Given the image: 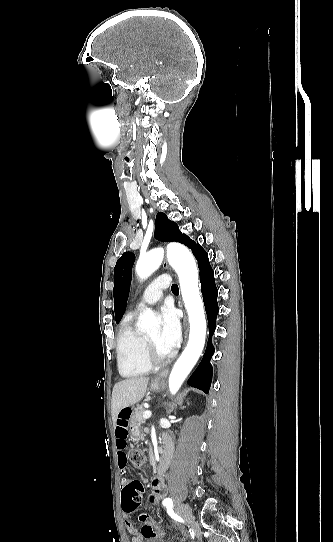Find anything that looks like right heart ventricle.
I'll return each mask as SVG.
<instances>
[{"instance_id": "right-heart-ventricle-1", "label": "right heart ventricle", "mask_w": 333, "mask_h": 542, "mask_svg": "<svg viewBox=\"0 0 333 542\" xmlns=\"http://www.w3.org/2000/svg\"><path fill=\"white\" fill-rule=\"evenodd\" d=\"M131 322L124 324L115 339L117 363L120 374L126 378H136L148 373L151 365L143 356V335L137 330L132 313Z\"/></svg>"}]
</instances>
